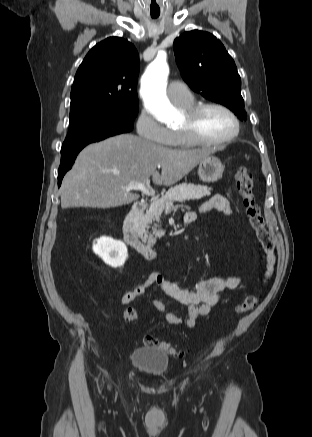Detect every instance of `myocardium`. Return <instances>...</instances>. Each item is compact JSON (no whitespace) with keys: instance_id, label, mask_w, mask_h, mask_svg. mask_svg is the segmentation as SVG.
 <instances>
[{"instance_id":"obj_1","label":"myocardium","mask_w":312,"mask_h":437,"mask_svg":"<svg viewBox=\"0 0 312 437\" xmlns=\"http://www.w3.org/2000/svg\"><path fill=\"white\" fill-rule=\"evenodd\" d=\"M208 108H217L224 111L233 121L234 129L225 138L218 140H208L203 138L197 130V119L198 117ZM187 121L186 124L180 127L181 133L184 135L186 140L192 145L199 146H220L235 140L240 133V121L237 115L226 105L218 102H204L194 104L188 109H184Z\"/></svg>"}]
</instances>
